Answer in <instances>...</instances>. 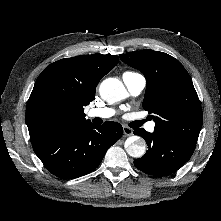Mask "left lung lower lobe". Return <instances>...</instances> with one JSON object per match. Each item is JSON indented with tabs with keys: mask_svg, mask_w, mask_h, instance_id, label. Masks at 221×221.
Here are the masks:
<instances>
[{
	"mask_svg": "<svg viewBox=\"0 0 221 221\" xmlns=\"http://www.w3.org/2000/svg\"><path fill=\"white\" fill-rule=\"evenodd\" d=\"M134 134L145 139L148 150L134 161L139 170L155 176H165L176 172L192 156L195 144L172 138L154 130L135 129Z\"/></svg>",
	"mask_w": 221,
	"mask_h": 221,
	"instance_id": "1",
	"label": "left lung lower lobe"
}]
</instances>
